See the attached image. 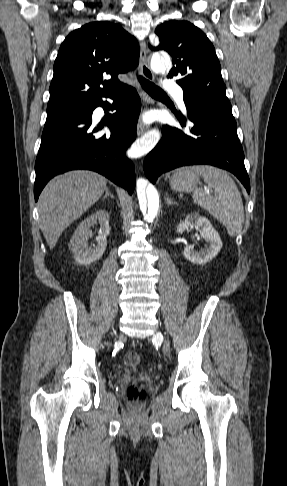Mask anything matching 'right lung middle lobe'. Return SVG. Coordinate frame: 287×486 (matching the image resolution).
<instances>
[{"mask_svg": "<svg viewBox=\"0 0 287 486\" xmlns=\"http://www.w3.org/2000/svg\"><path fill=\"white\" fill-rule=\"evenodd\" d=\"M83 108L84 106H72V107L47 110L46 122H51L66 116L79 114L83 111Z\"/></svg>", "mask_w": 287, "mask_h": 486, "instance_id": "obj_1", "label": "right lung middle lobe"}]
</instances>
